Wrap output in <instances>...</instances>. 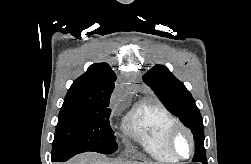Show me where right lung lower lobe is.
<instances>
[{"instance_id":"right-lung-lower-lobe-1","label":"right lung lower lobe","mask_w":251,"mask_h":164,"mask_svg":"<svg viewBox=\"0 0 251 164\" xmlns=\"http://www.w3.org/2000/svg\"><path fill=\"white\" fill-rule=\"evenodd\" d=\"M79 154V151L75 150H65L58 152L56 154H52V162H65L74 155Z\"/></svg>"}]
</instances>
